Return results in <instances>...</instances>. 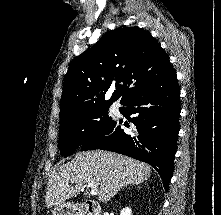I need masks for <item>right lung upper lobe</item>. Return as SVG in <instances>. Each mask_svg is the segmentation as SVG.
Here are the masks:
<instances>
[{
  "mask_svg": "<svg viewBox=\"0 0 221 215\" xmlns=\"http://www.w3.org/2000/svg\"><path fill=\"white\" fill-rule=\"evenodd\" d=\"M168 55L151 34L139 27L107 32L71 62L61 96V120L84 110L123 103L164 78ZM116 88L109 100L105 94Z\"/></svg>",
  "mask_w": 221,
  "mask_h": 215,
  "instance_id": "cb5924a9",
  "label": "right lung upper lobe"
}]
</instances>
